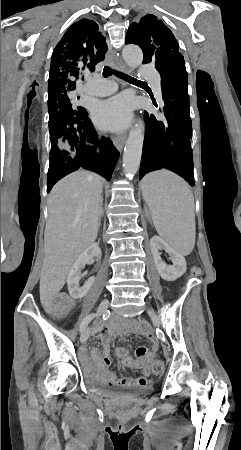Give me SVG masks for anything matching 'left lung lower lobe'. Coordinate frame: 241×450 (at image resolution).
<instances>
[{"instance_id": "left-lung-lower-lobe-1", "label": "left lung lower lobe", "mask_w": 241, "mask_h": 450, "mask_svg": "<svg viewBox=\"0 0 241 450\" xmlns=\"http://www.w3.org/2000/svg\"><path fill=\"white\" fill-rule=\"evenodd\" d=\"M165 122L145 111V139L140 179L148 172L169 169L194 185L191 118L185 64L160 73Z\"/></svg>"}]
</instances>
